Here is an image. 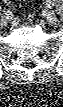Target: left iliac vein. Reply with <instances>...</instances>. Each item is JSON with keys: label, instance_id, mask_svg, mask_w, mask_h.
<instances>
[{"label": "left iliac vein", "instance_id": "4c4485c4", "mask_svg": "<svg viewBox=\"0 0 63 107\" xmlns=\"http://www.w3.org/2000/svg\"><path fill=\"white\" fill-rule=\"evenodd\" d=\"M46 19L51 25H55L57 23V15L53 11H49L46 14Z\"/></svg>", "mask_w": 63, "mask_h": 107}]
</instances>
